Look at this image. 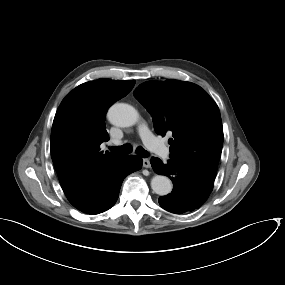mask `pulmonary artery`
Listing matches in <instances>:
<instances>
[{
    "label": "pulmonary artery",
    "instance_id": "obj_1",
    "mask_svg": "<svg viewBox=\"0 0 285 285\" xmlns=\"http://www.w3.org/2000/svg\"><path fill=\"white\" fill-rule=\"evenodd\" d=\"M139 134L143 142L152 149L158 156L163 159H167L170 156V149L157 137H155L147 127L141 126L139 129ZM112 145H118L119 142L114 141Z\"/></svg>",
    "mask_w": 285,
    "mask_h": 285
}]
</instances>
